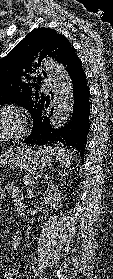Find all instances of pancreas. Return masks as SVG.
<instances>
[{"mask_svg": "<svg viewBox=\"0 0 113 279\" xmlns=\"http://www.w3.org/2000/svg\"><path fill=\"white\" fill-rule=\"evenodd\" d=\"M40 175H41L40 173H35V172L26 174L23 178L24 185H29L34 183V181H36Z\"/></svg>", "mask_w": 113, "mask_h": 279, "instance_id": "1", "label": "pancreas"}]
</instances>
